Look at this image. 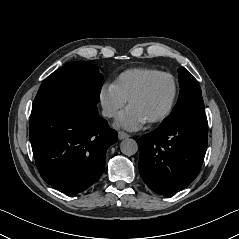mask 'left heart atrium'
Returning <instances> with one entry per match:
<instances>
[{
    "mask_svg": "<svg viewBox=\"0 0 239 239\" xmlns=\"http://www.w3.org/2000/svg\"><path fill=\"white\" fill-rule=\"evenodd\" d=\"M145 122L146 120L137 111L128 106L120 113L115 124L118 127L133 131L140 129Z\"/></svg>",
    "mask_w": 239,
    "mask_h": 239,
    "instance_id": "39dd6f15",
    "label": "left heart atrium"
}]
</instances>
